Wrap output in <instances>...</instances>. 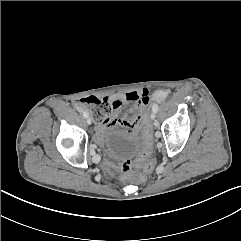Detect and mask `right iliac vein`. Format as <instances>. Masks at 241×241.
Returning <instances> with one entry per match:
<instances>
[{
  "mask_svg": "<svg viewBox=\"0 0 241 241\" xmlns=\"http://www.w3.org/2000/svg\"><path fill=\"white\" fill-rule=\"evenodd\" d=\"M87 123L88 125H91V119L89 117H87Z\"/></svg>",
  "mask_w": 241,
  "mask_h": 241,
  "instance_id": "1",
  "label": "right iliac vein"
}]
</instances>
